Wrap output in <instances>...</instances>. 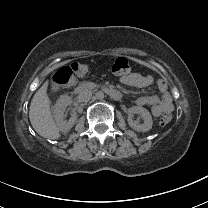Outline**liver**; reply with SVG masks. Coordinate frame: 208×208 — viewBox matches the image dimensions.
<instances>
[{"instance_id": "6515ba94", "label": "liver", "mask_w": 208, "mask_h": 208, "mask_svg": "<svg viewBox=\"0 0 208 208\" xmlns=\"http://www.w3.org/2000/svg\"><path fill=\"white\" fill-rule=\"evenodd\" d=\"M47 80L34 94L30 108L29 119L33 129L43 138L58 140L61 137L51 113V99L47 94Z\"/></svg>"}]
</instances>
